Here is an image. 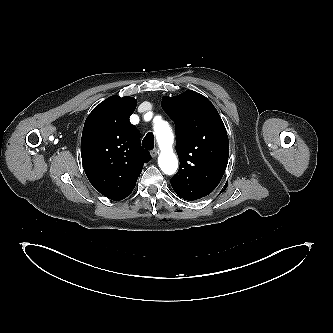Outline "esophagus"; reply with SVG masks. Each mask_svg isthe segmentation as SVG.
<instances>
[{
    "mask_svg": "<svg viewBox=\"0 0 333 333\" xmlns=\"http://www.w3.org/2000/svg\"><path fill=\"white\" fill-rule=\"evenodd\" d=\"M158 153L159 151L156 148L150 151V155L152 158H155L158 155Z\"/></svg>",
    "mask_w": 333,
    "mask_h": 333,
    "instance_id": "34e87169",
    "label": "esophagus"
}]
</instances>
